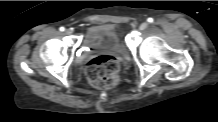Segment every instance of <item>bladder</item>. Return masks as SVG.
I'll list each match as a JSON object with an SVG mask.
<instances>
[{"instance_id":"obj_1","label":"bladder","mask_w":218,"mask_h":122,"mask_svg":"<svg viewBox=\"0 0 218 122\" xmlns=\"http://www.w3.org/2000/svg\"><path fill=\"white\" fill-rule=\"evenodd\" d=\"M84 45L92 50L126 53L120 34L110 25H98L88 30Z\"/></svg>"}]
</instances>
